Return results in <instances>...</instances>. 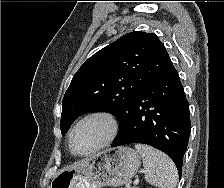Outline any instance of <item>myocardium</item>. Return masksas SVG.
Returning <instances> with one entry per match:
<instances>
[{
	"instance_id": "f54148a6",
	"label": "myocardium",
	"mask_w": 224,
	"mask_h": 188,
	"mask_svg": "<svg viewBox=\"0 0 224 188\" xmlns=\"http://www.w3.org/2000/svg\"><path fill=\"white\" fill-rule=\"evenodd\" d=\"M91 118H102V119H104L109 125V133H108L107 137L98 146H96L92 150H90L88 152H84V153H78V152L75 151L74 146H73L74 134H75L77 128L84 121H86L88 119H91ZM118 132H119V122L113 114H111L109 112H106V111H92V112L84 115L82 118H80L76 122V124L73 126V128L70 132V136H69L70 151L72 152V154H74L76 156H88V155L94 154V153L98 152L99 150L108 146L110 143H112L113 140L116 138Z\"/></svg>"
}]
</instances>
